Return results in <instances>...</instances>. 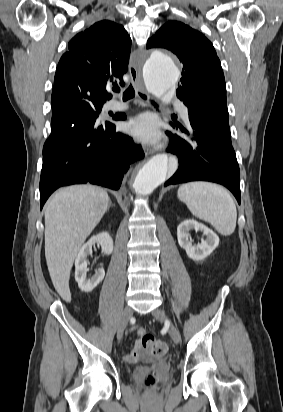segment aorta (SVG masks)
<instances>
[{
    "label": "aorta",
    "mask_w": 283,
    "mask_h": 412,
    "mask_svg": "<svg viewBox=\"0 0 283 412\" xmlns=\"http://www.w3.org/2000/svg\"><path fill=\"white\" fill-rule=\"evenodd\" d=\"M180 72L173 60L163 51H153L143 66V78L147 90L157 98H163L175 88ZM168 173V156L158 154L138 171L134 180L135 192L151 194L162 184Z\"/></svg>",
    "instance_id": "obj_1"
}]
</instances>
